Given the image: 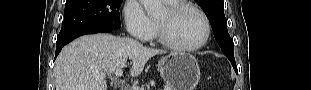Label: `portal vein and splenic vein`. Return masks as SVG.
Segmentation results:
<instances>
[{"instance_id": "obj_1", "label": "portal vein and splenic vein", "mask_w": 311, "mask_h": 90, "mask_svg": "<svg viewBox=\"0 0 311 90\" xmlns=\"http://www.w3.org/2000/svg\"><path fill=\"white\" fill-rule=\"evenodd\" d=\"M122 74H123V71H122L121 69L115 71L116 77H121ZM100 76L105 77L106 74H100ZM133 89H134V90H144V88H140V87H138V86H135Z\"/></svg>"}]
</instances>
